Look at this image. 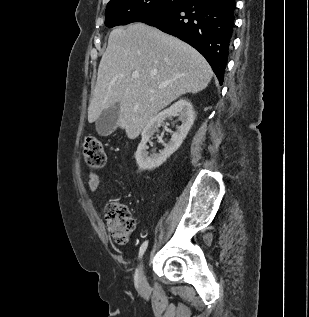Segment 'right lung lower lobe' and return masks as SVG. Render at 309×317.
<instances>
[{
	"mask_svg": "<svg viewBox=\"0 0 309 317\" xmlns=\"http://www.w3.org/2000/svg\"><path fill=\"white\" fill-rule=\"evenodd\" d=\"M235 0H186L180 5L137 18L197 49L209 62L220 84L233 36Z\"/></svg>",
	"mask_w": 309,
	"mask_h": 317,
	"instance_id": "98d812e1",
	"label": "right lung lower lobe"
}]
</instances>
